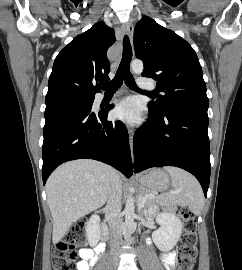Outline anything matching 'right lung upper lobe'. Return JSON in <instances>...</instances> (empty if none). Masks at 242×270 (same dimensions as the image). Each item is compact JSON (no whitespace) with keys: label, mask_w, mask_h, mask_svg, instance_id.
I'll list each match as a JSON object with an SVG mask.
<instances>
[{"label":"right lung upper lobe","mask_w":242,"mask_h":270,"mask_svg":"<svg viewBox=\"0 0 242 270\" xmlns=\"http://www.w3.org/2000/svg\"><path fill=\"white\" fill-rule=\"evenodd\" d=\"M115 41L114 31L99 22L63 48L49 77L46 107L94 99L109 80L107 50Z\"/></svg>","instance_id":"cb5924a9"}]
</instances>
